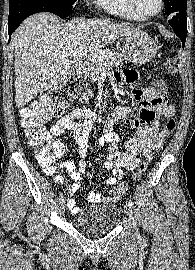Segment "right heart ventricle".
<instances>
[{
    "mask_svg": "<svg viewBox=\"0 0 195 270\" xmlns=\"http://www.w3.org/2000/svg\"><path fill=\"white\" fill-rule=\"evenodd\" d=\"M98 4L105 11L117 17L133 21L145 20L130 8L127 0H99Z\"/></svg>",
    "mask_w": 195,
    "mask_h": 270,
    "instance_id": "e07e8e85",
    "label": "right heart ventricle"
}]
</instances>
